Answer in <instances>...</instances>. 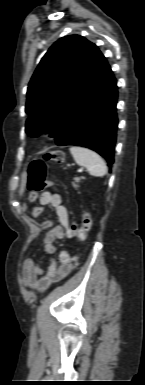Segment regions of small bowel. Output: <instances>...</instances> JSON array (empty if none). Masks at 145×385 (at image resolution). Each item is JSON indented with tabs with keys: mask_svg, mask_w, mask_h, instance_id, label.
Returning <instances> with one entry per match:
<instances>
[{
	"mask_svg": "<svg viewBox=\"0 0 145 385\" xmlns=\"http://www.w3.org/2000/svg\"><path fill=\"white\" fill-rule=\"evenodd\" d=\"M47 205L53 207L58 219V225L53 227L49 220L42 221L40 226L48 229L44 242L42 244V251L47 254V266L42 268L33 259H26L22 266V282L25 287L36 290L45 291L52 284L64 279L74 268L71 264L69 255L61 251L58 260L55 254L58 250L57 243L65 239L73 237V227L70 221L67 208L62 204L59 194L52 191H45L39 196V206L33 208L32 215L39 217L43 213V208Z\"/></svg>",
	"mask_w": 145,
	"mask_h": 385,
	"instance_id": "obj_1",
	"label": "small bowel"
}]
</instances>
